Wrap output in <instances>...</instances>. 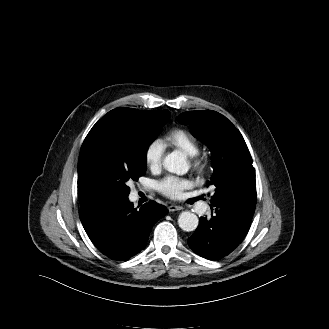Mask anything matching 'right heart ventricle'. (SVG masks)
Instances as JSON below:
<instances>
[{"instance_id":"right-heart-ventricle-1","label":"right heart ventricle","mask_w":329,"mask_h":329,"mask_svg":"<svg viewBox=\"0 0 329 329\" xmlns=\"http://www.w3.org/2000/svg\"><path fill=\"white\" fill-rule=\"evenodd\" d=\"M166 142L181 149L189 156H195L199 152L197 140L185 129L171 130L165 138Z\"/></svg>"}]
</instances>
